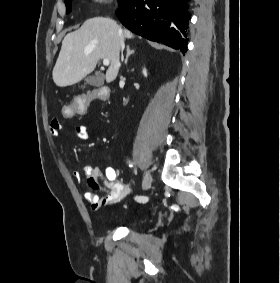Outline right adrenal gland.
<instances>
[{
	"instance_id": "2a0ac1e0",
	"label": "right adrenal gland",
	"mask_w": 280,
	"mask_h": 283,
	"mask_svg": "<svg viewBox=\"0 0 280 283\" xmlns=\"http://www.w3.org/2000/svg\"><path fill=\"white\" fill-rule=\"evenodd\" d=\"M135 53V50H130V47L129 45H127V55H126V58L124 60V63L127 64L128 62V58L130 55L134 54ZM123 60V59H122Z\"/></svg>"
}]
</instances>
